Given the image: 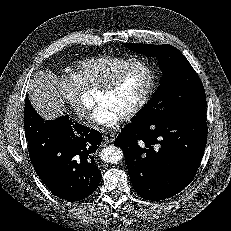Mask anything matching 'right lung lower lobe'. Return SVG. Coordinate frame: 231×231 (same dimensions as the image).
<instances>
[{"label": "right lung lower lobe", "mask_w": 231, "mask_h": 231, "mask_svg": "<svg viewBox=\"0 0 231 231\" xmlns=\"http://www.w3.org/2000/svg\"><path fill=\"white\" fill-rule=\"evenodd\" d=\"M24 127L33 167L55 196L74 202L97 189L101 180L94 161L101 143L98 131L72 122L69 115L44 121L28 97Z\"/></svg>", "instance_id": "right-lung-lower-lobe-1"}]
</instances>
